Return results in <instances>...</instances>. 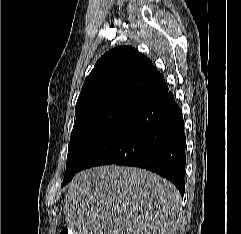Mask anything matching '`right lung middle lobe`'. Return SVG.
Here are the masks:
<instances>
[{
	"label": "right lung middle lobe",
	"mask_w": 241,
	"mask_h": 234,
	"mask_svg": "<svg viewBox=\"0 0 241 234\" xmlns=\"http://www.w3.org/2000/svg\"><path fill=\"white\" fill-rule=\"evenodd\" d=\"M136 106L134 103L113 101L75 111L76 121L71 133L66 173L61 187L66 185L89 152Z\"/></svg>",
	"instance_id": "right-lung-middle-lobe-1"
}]
</instances>
